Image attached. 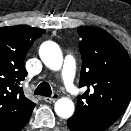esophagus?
I'll return each mask as SVG.
<instances>
[{
  "label": "esophagus",
  "instance_id": "34e87169",
  "mask_svg": "<svg viewBox=\"0 0 131 131\" xmlns=\"http://www.w3.org/2000/svg\"><path fill=\"white\" fill-rule=\"evenodd\" d=\"M59 95L57 93H54L52 97H44L43 100L45 102L51 103L58 99Z\"/></svg>",
  "mask_w": 131,
  "mask_h": 131
}]
</instances>
